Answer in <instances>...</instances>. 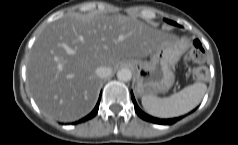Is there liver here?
Segmentation results:
<instances>
[{
    "mask_svg": "<svg viewBox=\"0 0 238 145\" xmlns=\"http://www.w3.org/2000/svg\"><path fill=\"white\" fill-rule=\"evenodd\" d=\"M167 41V34L132 17L69 13L35 40L27 63L31 95L45 115L75 121L96 104L98 67L145 58Z\"/></svg>",
    "mask_w": 238,
    "mask_h": 145,
    "instance_id": "liver-1",
    "label": "liver"
}]
</instances>
